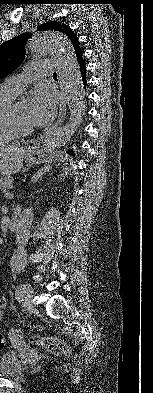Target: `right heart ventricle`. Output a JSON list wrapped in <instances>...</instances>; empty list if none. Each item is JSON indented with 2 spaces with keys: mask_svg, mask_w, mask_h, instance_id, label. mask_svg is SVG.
Instances as JSON below:
<instances>
[{
  "mask_svg": "<svg viewBox=\"0 0 153 393\" xmlns=\"http://www.w3.org/2000/svg\"><path fill=\"white\" fill-rule=\"evenodd\" d=\"M17 93L0 86V145L16 139V134L10 123V109Z\"/></svg>",
  "mask_w": 153,
  "mask_h": 393,
  "instance_id": "obj_1",
  "label": "right heart ventricle"
}]
</instances>
